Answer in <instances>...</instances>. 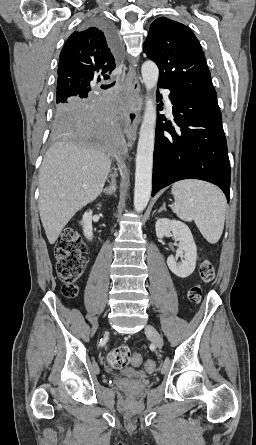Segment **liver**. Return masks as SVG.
I'll use <instances>...</instances> for the list:
<instances>
[{"label":"liver","instance_id":"1","mask_svg":"<svg viewBox=\"0 0 256 445\" xmlns=\"http://www.w3.org/2000/svg\"><path fill=\"white\" fill-rule=\"evenodd\" d=\"M110 166L108 157L82 142L59 141L49 148L39 174L38 207L50 244L75 213L102 192Z\"/></svg>","mask_w":256,"mask_h":445}]
</instances>
